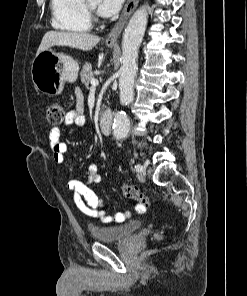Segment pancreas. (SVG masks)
<instances>
[{
    "label": "pancreas",
    "instance_id": "cf45deb5",
    "mask_svg": "<svg viewBox=\"0 0 247 296\" xmlns=\"http://www.w3.org/2000/svg\"><path fill=\"white\" fill-rule=\"evenodd\" d=\"M81 82L88 88L91 79L94 77L92 66L90 63H85L82 67L81 73Z\"/></svg>",
    "mask_w": 247,
    "mask_h": 296
}]
</instances>
